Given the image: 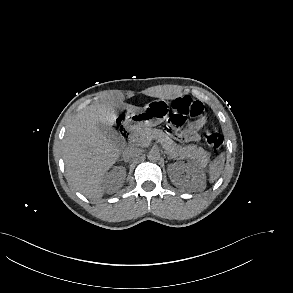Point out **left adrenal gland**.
Segmentation results:
<instances>
[{
    "label": "left adrenal gland",
    "mask_w": 293,
    "mask_h": 293,
    "mask_svg": "<svg viewBox=\"0 0 293 293\" xmlns=\"http://www.w3.org/2000/svg\"><path fill=\"white\" fill-rule=\"evenodd\" d=\"M168 159H173L172 157L168 156Z\"/></svg>",
    "instance_id": "obj_1"
}]
</instances>
